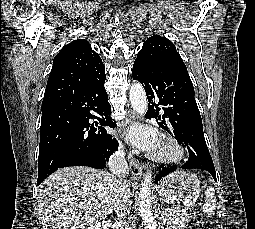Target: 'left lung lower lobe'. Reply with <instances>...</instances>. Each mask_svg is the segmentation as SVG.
Returning <instances> with one entry per match:
<instances>
[{"label":"left lung lower lobe","instance_id":"0a47b994","mask_svg":"<svg viewBox=\"0 0 255 229\" xmlns=\"http://www.w3.org/2000/svg\"><path fill=\"white\" fill-rule=\"evenodd\" d=\"M132 76L141 82L147 94L149 109L146 117L155 118L161 128L170 131L180 144L187 146L189 159L180 168L206 170L216 180L194 98V87L187 70L171 63L142 64L135 61ZM159 105L163 106L162 117ZM175 170V166L163 167L155 182Z\"/></svg>","mask_w":255,"mask_h":229}]
</instances>
